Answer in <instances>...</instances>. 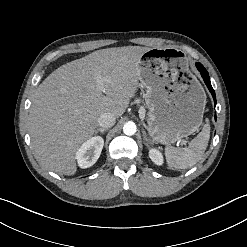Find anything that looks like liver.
I'll return each mask as SVG.
<instances>
[{
	"instance_id": "6515ba94",
	"label": "liver",
	"mask_w": 247,
	"mask_h": 247,
	"mask_svg": "<svg viewBox=\"0 0 247 247\" xmlns=\"http://www.w3.org/2000/svg\"><path fill=\"white\" fill-rule=\"evenodd\" d=\"M149 49L97 50L60 66L39 85L29 127L41 164L65 175L76 173V152L94 135L100 115L122 116L134 97L139 87L138 63Z\"/></svg>"
}]
</instances>
